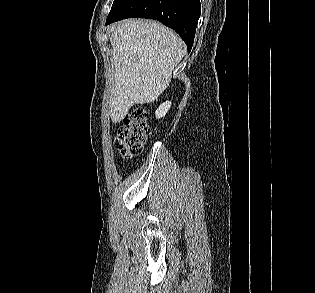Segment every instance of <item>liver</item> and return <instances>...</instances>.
<instances>
[{"label":"liver","mask_w":315,"mask_h":293,"mask_svg":"<svg viewBox=\"0 0 315 293\" xmlns=\"http://www.w3.org/2000/svg\"><path fill=\"white\" fill-rule=\"evenodd\" d=\"M110 43L115 67L110 117L117 123L132 105L151 103L163 93L186 46L171 29L137 19L117 23Z\"/></svg>","instance_id":"1"}]
</instances>
